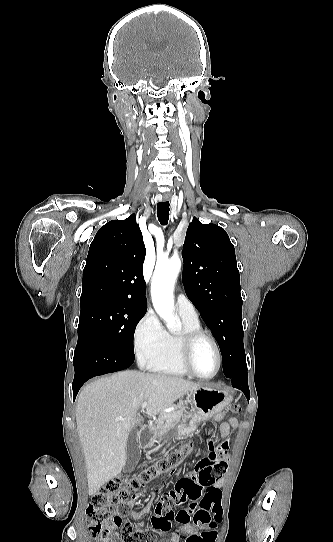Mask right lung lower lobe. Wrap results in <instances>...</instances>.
<instances>
[{"label": "right lung lower lobe", "mask_w": 333, "mask_h": 542, "mask_svg": "<svg viewBox=\"0 0 333 542\" xmlns=\"http://www.w3.org/2000/svg\"><path fill=\"white\" fill-rule=\"evenodd\" d=\"M135 358L118 352L105 340L94 333H85L78 337L73 364L75 376L72 384L73 398L81 386L89 379L120 371L130 367Z\"/></svg>", "instance_id": "right-lung-lower-lobe-1"}]
</instances>
